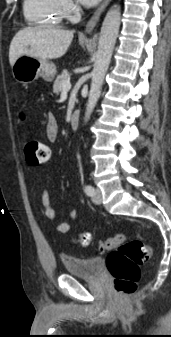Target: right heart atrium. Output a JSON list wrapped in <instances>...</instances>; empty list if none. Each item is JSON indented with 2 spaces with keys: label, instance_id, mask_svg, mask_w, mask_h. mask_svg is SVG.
Here are the masks:
<instances>
[{
  "label": "right heart atrium",
  "instance_id": "d8ad5b80",
  "mask_svg": "<svg viewBox=\"0 0 171 337\" xmlns=\"http://www.w3.org/2000/svg\"><path fill=\"white\" fill-rule=\"evenodd\" d=\"M64 17L68 20H74L78 13V6L73 0H60Z\"/></svg>",
  "mask_w": 171,
  "mask_h": 337
}]
</instances>
